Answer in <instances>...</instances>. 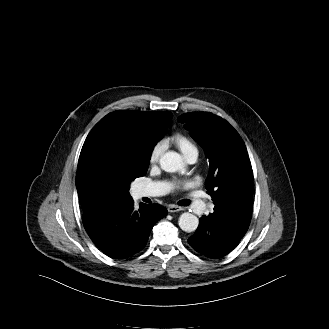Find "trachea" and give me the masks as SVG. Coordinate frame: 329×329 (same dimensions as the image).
I'll list each match as a JSON object with an SVG mask.
<instances>
[{
  "instance_id": "3493384b",
  "label": "trachea",
  "mask_w": 329,
  "mask_h": 329,
  "mask_svg": "<svg viewBox=\"0 0 329 329\" xmlns=\"http://www.w3.org/2000/svg\"><path fill=\"white\" fill-rule=\"evenodd\" d=\"M182 206H188L190 204V201L189 200H183L181 201L180 203Z\"/></svg>"
}]
</instances>
